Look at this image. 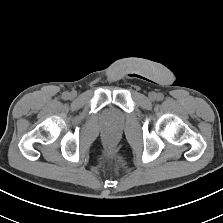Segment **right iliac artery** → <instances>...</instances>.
Here are the masks:
<instances>
[{
	"instance_id": "1",
	"label": "right iliac artery",
	"mask_w": 223,
	"mask_h": 223,
	"mask_svg": "<svg viewBox=\"0 0 223 223\" xmlns=\"http://www.w3.org/2000/svg\"><path fill=\"white\" fill-rule=\"evenodd\" d=\"M68 97H69V93L66 92V93L63 94L64 99H67Z\"/></svg>"
}]
</instances>
